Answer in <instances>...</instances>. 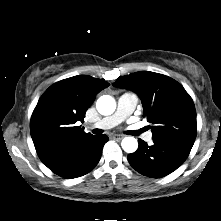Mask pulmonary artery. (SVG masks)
<instances>
[{"label": "pulmonary artery", "mask_w": 221, "mask_h": 221, "mask_svg": "<svg viewBox=\"0 0 221 221\" xmlns=\"http://www.w3.org/2000/svg\"><path fill=\"white\" fill-rule=\"evenodd\" d=\"M138 103V97L133 93L122 94L117 103L116 111L107 117H104L98 121L94 127L99 129H110L124 121L129 115L132 114ZM144 139L147 142L152 141V133L148 132L144 135Z\"/></svg>", "instance_id": "1"}]
</instances>
